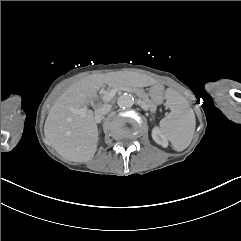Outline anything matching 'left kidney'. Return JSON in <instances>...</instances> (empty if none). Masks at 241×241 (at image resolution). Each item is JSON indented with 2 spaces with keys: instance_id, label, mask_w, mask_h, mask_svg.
<instances>
[{
  "instance_id": "1",
  "label": "left kidney",
  "mask_w": 241,
  "mask_h": 241,
  "mask_svg": "<svg viewBox=\"0 0 241 241\" xmlns=\"http://www.w3.org/2000/svg\"><path fill=\"white\" fill-rule=\"evenodd\" d=\"M152 137L156 143L162 145L163 147L167 146V140H166L164 134L161 133L158 129L153 130Z\"/></svg>"
}]
</instances>
